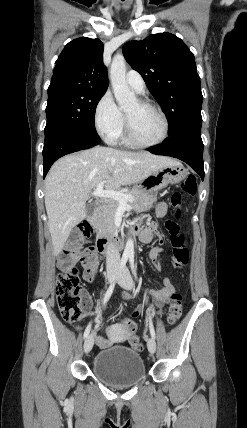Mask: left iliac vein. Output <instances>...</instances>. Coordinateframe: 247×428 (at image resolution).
I'll return each mask as SVG.
<instances>
[{
	"mask_svg": "<svg viewBox=\"0 0 247 428\" xmlns=\"http://www.w3.org/2000/svg\"><path fill=\"white\" fill-rule=\"evenodd\" d=\"M118 284L126 289L131 290L133 288V280L128 269L125 267L122 273L119 275ZM147 347L151 354H154L156 351V342L153 337L149 338L147 341Z\"/></svg>",
	"mask_w": 247,
	"mask_h": 428,
	"instance_id": "obj_1",
	"label": "left iliac vein"
}]
</instances>
